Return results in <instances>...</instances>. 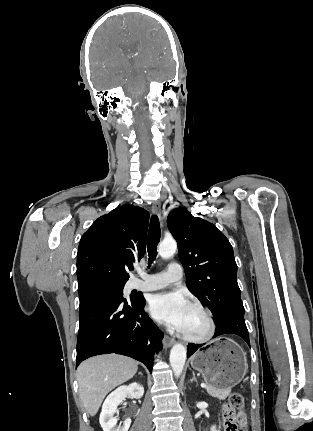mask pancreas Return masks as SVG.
<instances>
[{
	"label": "pancreas",
	"mask_w": 313,
	"mask_h": 431,
	"mask_svg": "<svg viewBox=\"0 0 313 431\" xmlns=\"http://www.w3.org/2000/svg\"><path fill=\"white\" fill-rule=\"evenodd\" d=\"M206 390H207L209 395H211L212 397L217 398L219 400H225L231 392V389L218 390V389L212 388L210 386H207Z\"/></svg>",
	"instance_id": "pancreas-1"
}]
</instances>
